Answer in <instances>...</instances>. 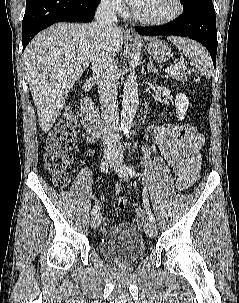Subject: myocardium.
Returning a JSON list of instances; mask_svg holds the SVG:
<instances>
[{
    "instance_id": "myocardium-1",
    "label": "myocardium",
    "mask_w": 239,
    "mask_h": 303,
    "mask_svg": "<svg viewBox=\"0 0 239 303\" xmlns=\"http://www.w3.org/2000/svg\"><path fill=\"white\" fill-rule=\"evenodd\" d=\"M174 4H175V9L174 11L164 17H146V16H142L140 14H138L136 12V10L133 11V17L144 24L147 25H164V24H168L171 23L175 20H177L184 11V3L183 0H174Z\"/></svg>"
}]
</instances>
